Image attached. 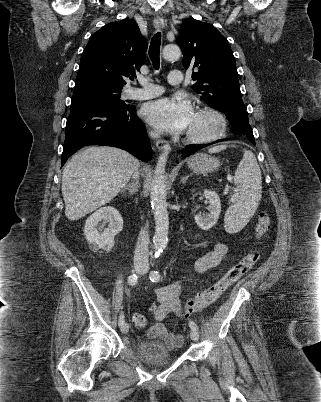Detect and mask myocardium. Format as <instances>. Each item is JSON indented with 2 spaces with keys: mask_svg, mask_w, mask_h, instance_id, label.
Returning <instances> with one entry per match:
<instances>
[{
  "mask_svg": "<svg viewBox=\"0 0 321 402\" xmlns=\"http://www.w3.org/2000/svg\"><path fill=\"white\" fill-rule=\"evenodd\" d=\"M195 112L212 115L217 120V128L213 133L205 136L186 132L185 138L188 142L193 144H206L220 139L226 133L228 125L227 119L218 109L210 106H201L198 107Z\"/></svg>",
  "mask_w": 321,
  "mask_h": 402,
  "instance_id": "myocardium-1",
  "label": "myocardium"
}]
</instances>
